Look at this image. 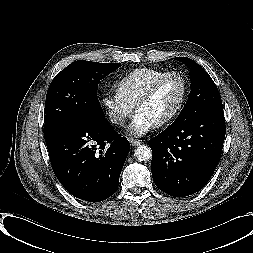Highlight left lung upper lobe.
<instances>
[{"label": "left lung upper lobe", "instance_id": "5c2ea615", "mask_svg": "<svg viewBox=\"0 0 253 253\" xmlns=\"http://www.w3.org/2000/svg\"><path fill=\"white\" fill-rule=\"evenodd\" d=\"M174 59L190 68L191 92L186 105L172 124L222 107L220 93L209 74L189 58L176 57Z\"/></svg>", "mask_w": 253, "mask_h": 253}]
</instances>
